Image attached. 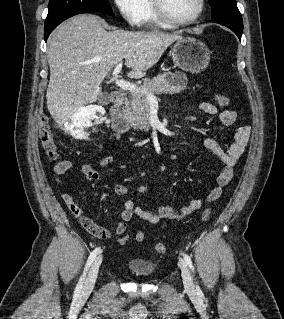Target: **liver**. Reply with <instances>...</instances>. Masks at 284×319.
Masks as SVG:
<instances>
[{"instance_id":"obj_1","label":"liver","mask_w":284,"mask_h":319,"mask_svg":"<svg viewBox=\"0 0 284 319\" xmlns=\"http://www.w3.org/2000/svg\"><path fill=\"white\" fill-rule=\"evenodd\" d=\"M179 33L106 31L95 15L82 14L60 24L49 38L50 80L47 107L58 125L95 102L100 84L123 59L131 78H142Z\"/></svg>"}]
</instances>
